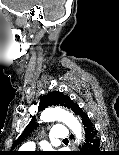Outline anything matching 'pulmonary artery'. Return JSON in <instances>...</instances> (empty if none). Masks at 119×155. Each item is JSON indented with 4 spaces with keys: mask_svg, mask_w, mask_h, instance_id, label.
I'll use <instances>...</instances> for the list:
<instances>
[{
    "mask_svg": "<svg viewBox=\"0 0 119 155\" xmlns=\"http://www.w3.org/2000/svg\"><path fill=\"white\" fill-rule=\"evenodd\" d=\"M51 141H63L68 137V130L64 126H56L50 132ZM23 149H33L34 144L28 142L22 146Z\"/></svg>",
    "mask_w": 119,
    "mask_h": 155,
    "instance_id": "pulmonary-artery-1",
    "label": "pulmonary artery"
}]
</instances>
